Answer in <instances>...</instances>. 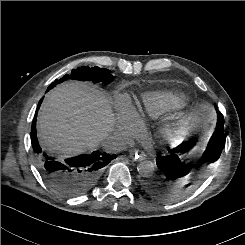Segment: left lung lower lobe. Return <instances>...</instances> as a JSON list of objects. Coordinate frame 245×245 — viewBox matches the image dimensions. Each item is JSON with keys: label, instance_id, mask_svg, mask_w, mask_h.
<instances>
[{"label": "left lung lower lobe", "instance_id": "0a47b994", "mask_svg": "<svg viewBox=\"0 0 245 245\" xmlns=\"http://www.w3.org/2000/svg\"><path fill=\"white\" fill-rule=\"evenodd\" d=\"M216 112V129L211 137L208 147L199 159L200 166H205L217 161L225 144L224 117L218 109H216ZM196 142L197 140L184 141L176 147L168 148L166 155H158L156 158L160 178L169 182L173 190L182 188L183 184L188 183L186 186L191 184L189 183L191 169L187 164L181 161L180 157L183 153L192 149ZM155 185L156 183L154 181H148L145 184V187L148 191H153Z\"/></svg>", "mask_w": 245, "mask_h": 245}]
</instances>
